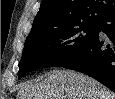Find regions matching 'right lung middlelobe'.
Wrapping results in <instances>:
<instances>
[{"instance_id": "obj_1", "label": "right lung middle lobe", "mask_w": 115, "mask_h": 99, "mask_svg": "<svg viewBox=\"0 0 115 99\" xmlns=\"http://www.w3.org/2000/svg\"><path fill=\"white\" fill-rule=\"evenodd\" d=\"M99 23L71 25L42 35L27 37L18 78L43 67H63L76 59L98 33Z\"/></svg>"}]
</instances>
